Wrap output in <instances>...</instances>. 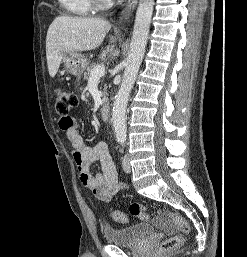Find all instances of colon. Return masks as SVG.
Wrapping results in <instances>:
<instances>
[{
  "label": "colon",
  "mask_w": 247,
  "mask_h": 257,
  "mask_svg": "<svg viewBox=\"0 0 247 257\" xmlns=\"http://www.w3.org/2000/svg\"><path fill=\"white\" fill-rule=\"evenodd\" d=\"M54 93L56 99V112L62 120L63 125L69 126L71 124V117L69 116V113L78 106V98L69 88L65 86H57ZM129 210L133 216L142 220H147L149 218L146 208L138 202H133L130 205ZM158 213L171 220L179 230V234L170 236L160 244V252L169 253L181 245L184 234L188 233L189 231V225L185 218L178 213L164 210H159ZM111 218L119 223L128 222L127 215L120 211H112Z\"/></svg>",
  "instance_id": "1"
}]
</instances>
